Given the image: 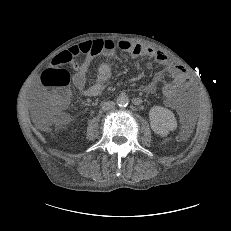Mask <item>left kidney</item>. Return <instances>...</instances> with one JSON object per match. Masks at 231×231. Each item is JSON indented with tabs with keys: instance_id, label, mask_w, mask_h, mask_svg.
I'll use <instances>...</instances> for the list:
<instances>
[{
	"instance_id": "1",
	"label": "left kidney",
	"mask_w": 231,
	"mask_h": 231,
	"mask_svg": "<svg viewBox=\"0 0 231 231\" xmlns=\"http://www.w3.org/2000/svg\"><path fill=\"white\" fill-rule=\"evenodd\" d=\"M152 130L161 136H167L177 127V121L173 112L161 106H153L149 111Z\"/></svg>"
}]
</instances>
